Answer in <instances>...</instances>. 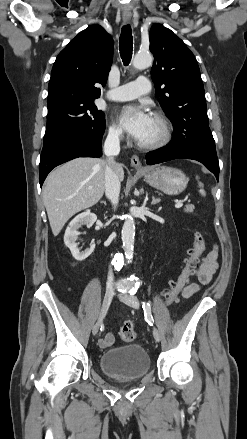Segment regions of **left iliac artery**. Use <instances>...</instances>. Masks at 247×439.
<instances>
[{
    "label": "left iliac artery",
    "mask_w": 247,
    "mask_h": 439,
    "mask_svg": "<svg viewBox=\"0 0 247 439\" xmlns=\"http://www.w3.org/2000/svg\"><path fill=\"white\" fill-rule=\"evenodd\" d=\"M142 307H143V310H144L145 319L147 320V322L150 325H153L154 319H153V316H152V313H151V305H150V303L149 302H142Z\"/></svg>",
    "instance_id": "left-iliac-artery-1"
}]
</instances>
